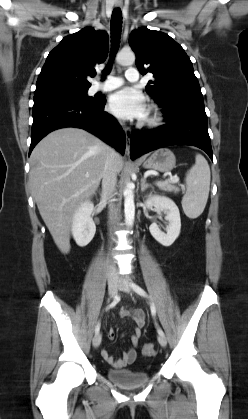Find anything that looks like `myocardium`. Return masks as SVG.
I'll use <instances>...</instances> for the list:
<instances>
[{
  "mask_svg": "<svg viewBox=\"0 0 248 419\" xmlns=\"http://www.w3.org/2000/svg\"><path fill=\"white\" fill-rule=\"evenodd\" d=\"M161 120H162V114L158 110V108L155 106L151 107L150 114L146 120V123L149 126H156L161 122Z\"/></svg>",
  "mask_w": 248,
  "mask_h": 419,
  "instance_id": "myocardium-1",
  "label": "myocardium"
}]
</instances>
